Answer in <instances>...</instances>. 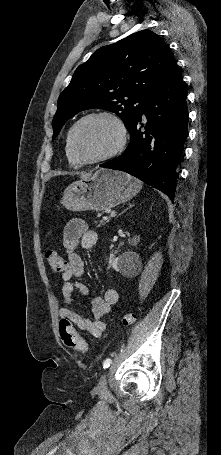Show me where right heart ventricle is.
<instances>
[{"mask_svg":"<svg viewBox=\"0 0 221 455\" xmlns=\"http://www.w3.org/2000/svg\"><path fill=\"white\" fill-rule=\"evenodd\" d=\"M69 135H70V131H69V133L67 135V139H66V146H65L66 156H67L68 162L71 166L78 167L81 163L73 156V154L70 150Z\"/></svg>","mask_w":221,"mask_h":455,"instance_id":"1","label":"right heart ventricle"}]
</instances>
